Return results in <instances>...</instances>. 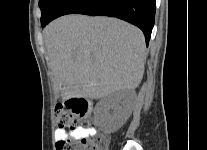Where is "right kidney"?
Listing matches in <instances>:
<instances>
[{
    "mask_svg": "<svg viewBox=\"0 0 207 150\" xmlns=\"http://www.w3.org/2000/svg\"><path fill=\"white\" fill-rule=\"evenodd\" d=\"M133 95L121 90L102 98L96 105L95 117L106 133L116 132L131 113Z\"/></svg>",
    "mask_w": 207,
    "mask_h": 150,
    "instance_id": "right-kidney-1",
    "label": "right kidney"
}]
</instances>
